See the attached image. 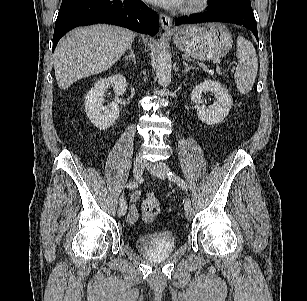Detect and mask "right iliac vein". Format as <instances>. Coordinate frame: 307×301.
Listing matches in <instances>:
<instances>
[{"instance_id": "right-iliac-vein-1", "label": "right iliac vein", "mask_w": 307, "mask_h": 301, "mask_svg": "<svg viewBox=\"0 0 307 301\" xmlns=\"http://www.w3.org/2000/svg\"><path fill=\"white\" fill-rule=\"evenodd\" d=\"M144 167H145V163L141 158H137L134 160V164H133V176L136 180L140 179L143 171H144ZM127 211V206L123 205L120 206L118 209V216L122 217L126 214Z\"/></svg>"}]
</instances>
